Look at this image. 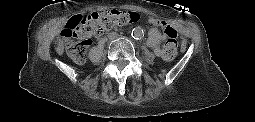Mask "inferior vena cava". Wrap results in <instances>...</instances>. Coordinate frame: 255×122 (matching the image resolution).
<instances>
[{
	"label": "inferior vena cava",
	"mask_w": 255,
	"mask_h": 122,
	"mask_svg": "<svg viewBox=\"0 0 255 122\" xmlns=\"http://www.w3.org/2000/svg\"><path fill=\"white\" fill-rule=\"evenodd\" d=\"M118 36L119 35L116 32H111V33L108 34V38L111 39V40L116 39Z\"/></svg>",
	"instance_id": "1"
}]
</instances>
